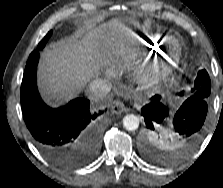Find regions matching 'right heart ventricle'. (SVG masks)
Here are the masks:
<instances>
[{"instance_id": "1", "label": "right heart ventricle", "mask_w": 223, "mask_h": 188, "mask_svg": "<svg viewBox=\"0 0 223 188\" xmlns=\"http://www.w3.org/2000/svg\"><path fill=\"white\" fill-rule=\"evenodd\" d=\"M146 41L151 46L150 48H152L153 50H156L161 45H163L165 41V37L158 33H150L146 35Z\"/></svg>"}]
</instances>
